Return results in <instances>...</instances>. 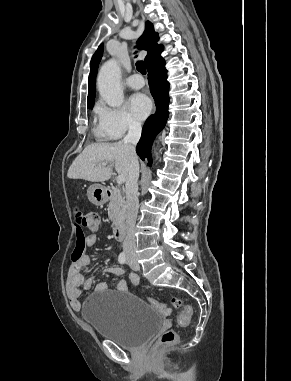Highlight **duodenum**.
I'll use <instances>...</instances> for the list:
<instances>
[{
    "label": "duodenum",
    "mask_w": 291,
    "mask_h": 381,
    "mask_svg": "<svg viewBox=\"0 0 291 381\" xmlns=\"http://www.w3.org/2000/svg\"><path fill=\"white\" fill-rule=\"evenodd\" d=\"M106 194L107 195H110L111 194V190H106ZM114 235H115V239L117 241H123L125 239V236H126V228H125V224L120 222V223H117L114 227Z\"/></svg>",
    "instance_id": "obj_1"
}]
</instances>
